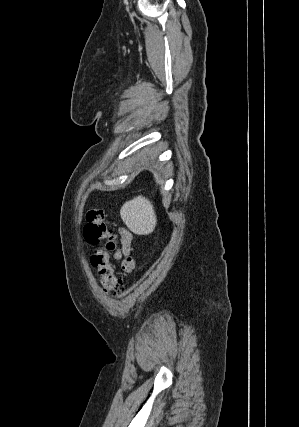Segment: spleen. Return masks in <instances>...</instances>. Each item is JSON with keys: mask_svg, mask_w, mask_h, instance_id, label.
I'll list each match as a JSON object with an SVG mask.
<instances>
[{"mask_svg": "<svg viewBox=\"0 0 299 427\" xmlns=\"http://www.w3.org/2000/svg\"><path fill=\"white\" fill-rule=\"evenodd\" d=\"M120 215L126 226L135 234L148 235L155 229L157 219L153 205L141 195L124 203Z\"/></svg>", "mask_w": 299, "mask_h": 427, "instance_id": "1", "label": "spleen"}]
</instances>
